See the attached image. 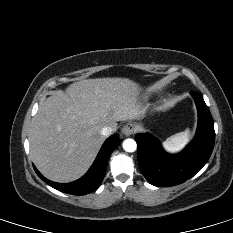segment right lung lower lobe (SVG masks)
Wrapping results in <instances>:
<instances>
[{"instance_id": "1", "label": "right lung lower lobe", "mask_w": 233, "mask_h": 233, "mask_svg": "<svg viewBox=\"0 0 233 233\" xmlns=\"http://www.w3.org/2000/svg\"><path fill=\"white\" fill-rule=\"evenodd\" d=\"M119 143L120 139L118 134H114L111 137H109L103 144L101 150L97 155L96 160L89 169L88 173L81 179L68 184L51 182L44 178L35 166L33 167L37 175L53 188L67 194L85 195L96 190L102 183L103 178L105 176L108 159Z\"/></svg>"}]
</instances>
